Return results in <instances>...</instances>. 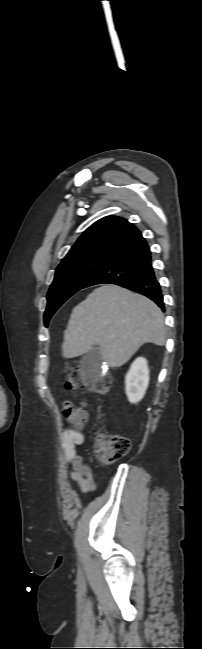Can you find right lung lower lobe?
<instances>
[{
  "mask_svg": "<svg viewBox=\"0 0 202 649\" xmlns=\"http://www.w3.org/2000/svg\"><path fill=\"white\" fill-rule=\"evenodd\" d=\"M111 283L141 293L153 300L164 311L163 295L151 263L147 242L114 255L104 263L82 288Z\"/></svg>",
  "mask_w": 202,
  "mask_h": 649,
  "instance_id": "right-lung-lower-lobe-1",
  "label": "right lung lower lobe"
}]
</instances>
